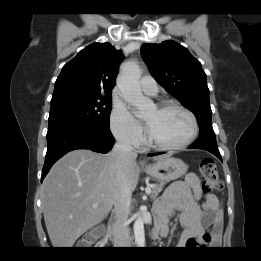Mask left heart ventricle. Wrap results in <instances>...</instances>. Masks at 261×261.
<instances>
[{"mask_svg": "<svg viewBox=\"0 0 261 261\" xmlns=\"http://www.w3.org/2000/svg\"><path fill=\"white\" fill-rule=\"evenodd\" d=\"M144 120L152 137L163 144L179 143L191 132L190 119L177 109L161 111L153 108L146 113Z\"/></svg>", "mask_w": 261, "mask_h": 261, "instance_id": "b2bd125f", "label": "left heart ventricle"}]
</instances>
